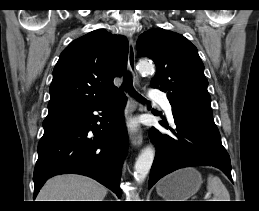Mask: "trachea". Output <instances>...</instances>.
<instances>
[{"label": "trachea", "instance_id": "trachea-1", "mask_svg": "<svg viewBox=\"0 0 259 211\" xmlns=\"http://www.w3.org/2000/svg\"><path fill=\"white\" fill-rule=\"evenodd\" d=\"M122 88L126 91H129L131 93V95H133L134 97H136L139 101L141 102H146L145 98L142 97L140 94H138L135 89L133 88L132 85V80H131V75L130 73H127L125 76V80L124 83L122 85Z\"/></svg>", "mask_w": 259, "mask_h": 211}]
</instances>
